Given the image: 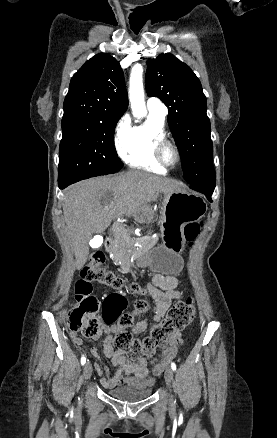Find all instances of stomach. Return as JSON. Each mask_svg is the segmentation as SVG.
I'll return each instance as SVG.
<instances>
[{
	"mask_svg": "<svg viewBox=\"0 0 277 438\" xmlns=\"http://www.w3.org/2000/svg\"><path fill=\"white\" fill-rule=\"evenodd\" d=\"M163 194L160 219L162 244L139 256L137 264L149 266L155 273L175 275L183 268L184 226L200 220L205 214L206 204L198 194L184 189Z\"/></svg>",
	"mask_w": 277,
	"mask_h": 438,
	"instance_id": "stomach-1",
	"label": "stomach"
}]
</instances>
